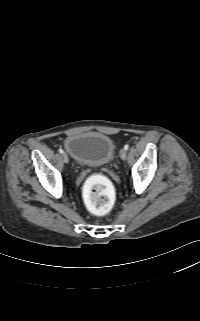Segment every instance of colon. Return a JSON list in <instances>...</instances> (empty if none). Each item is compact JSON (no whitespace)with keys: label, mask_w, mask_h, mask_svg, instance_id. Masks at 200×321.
Here are the masks:
<instances>
[{"label":"colon","mask_w":200,"mask_h":321,"mask_svg":"<svg viewBox=\"0 0 200 321\" xmlns=\"http://www.w3.org/2000/svg\"><path fill=\"white\" fill-rule=\"evenodd\" d=\"M85 201L90 212L95 215H105L114 205V189L105 178L94 176L85 186Z\"/></svg>","instance_id":"obj_1"}]
</instances>
